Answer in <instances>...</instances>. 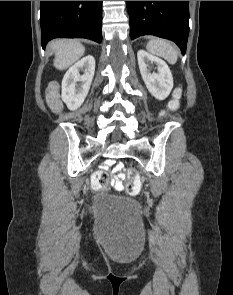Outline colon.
<instances>
[{
	"label": "colon",
	"instance_id": "obj_1",
	"mask_svg": "<svg viewBox=\"0 0 233 295\" xmlns=\"http://www.w3.org/2000/svg\"><path fill=\"white\" fill-rule=\"evenodd\" d=\"M179 96H180V92L178 90L175 94L174 100L171 102L172 109L177 108ZM47 97H48V102L51 108L54 111H59L61 105H60L57 90L55 87H51L49 89ZM127 174H128V182L126 185V191L129 195L134 196L139 192L141 188V184H142L141 177L138 171L133 168H130ZM108 182H109V175L104 170H97L91 176V186L94 189L104 188L107 186Z\"/></svg>",
	"mask_w": 233,
	"mask_h": 295
}]
</instances>
